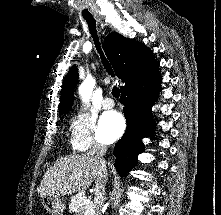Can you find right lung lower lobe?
<instances>
[{"label": "right lung lower lobe", "instance_id": "right-lung-lower-lobe-1", "mask_svg": "<svg viewBox=\"0 0 221 215\" xmlns=\"http://www.w3.org/2000/svg\"><path fill=\"white\" fill-rule=\"evenodd\" d=\"M161 80L157 70L135 87L121 92L127 128L114 148L115 167L121 176L136 166L138 155L144 150L142 138L153 134L155 122H151V106L157 99Z\"/></svg>", "mask_w": 221, "mask_h": 215}]
</instances>
